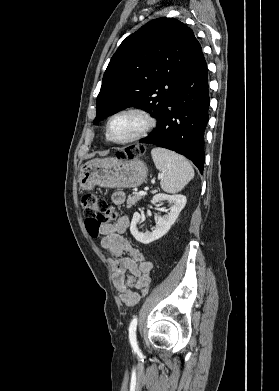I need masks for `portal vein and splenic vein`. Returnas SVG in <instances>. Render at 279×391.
Returning a JSON list of instances; mask_svg holds the SVG:
<instances>
[{
    "instance_id": "obj_1",
    "label": "portal vein and splenic vein",
    "mask_w": 279,
    "mask_h": 391,
    "mask_svg": "<svg viewBox=\"0 0 279 391\" xmlns=\"http://www.w3.org/2000/svg\"><path fill=\"white\" fill-rule=\"evenodd\" d=\"M139 195H146V192L145 191H139V193H138Z\"/></svg>"
}]
</instances>
